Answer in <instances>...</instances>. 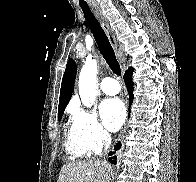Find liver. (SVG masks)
Listing matches in <instances>:
<instances>
[{
	"instance_id": "obj_1",
	"label": "liver",
	"mask_w": 196,
	"mask_h": 182,
	"mask_svg": "<svg viewBox=\"0 0 196 182\" xmlns=\"http://www.w3.org/2000/svg\"><path fill=\"white\" fill-rule=\"evenodd\" d=\"M112 166L100 160H87L64 165L57 182H109Z\"/></svg>"
}]
</instances>
